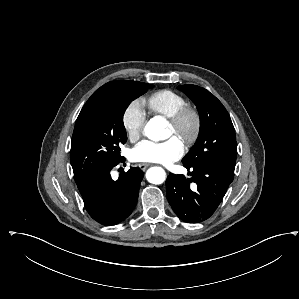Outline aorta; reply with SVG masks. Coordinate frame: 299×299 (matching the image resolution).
Returning <instances> with one entry per match:
<instances>
[{
	"mask_svg": "<svg viewBox=\"0 0 299 299\" xmlns=\"http://www.w3.org/2000/svg\"><path fill=\"white\" fill-rule=\"evenodd\" d=\"M166 128V119L161 116H155L147 122L144 133L150 140H164L168 136ZM146 179L152 184H162L166 179V173L161 167H151L146 172Z\"/></svg>",
	"mask_w": 299,
	"mask_h": 299,
	"instance_id": "aorta-1",
	"label": "aorta"
}]
</instances>
